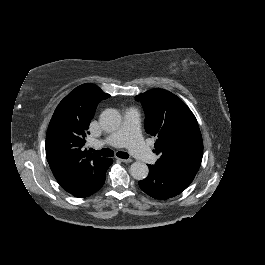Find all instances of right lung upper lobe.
<instances>
[{
  "instance_id": "cb5924a9",
  "label": "right lung upper lobe",
  "mask_w": 265,
  "mask_h": 265,
  "mask_svg": "<svg viewBox=\"0 0 265 265\" xmlns=\"http://www.w3.org/2000/svg\"><path fill=\"white\" fill-rule=\"evenodd\" d=\"M110 95L94 84H83L57 106L46 135V157L60 186L79 196L104 180L109 158L83 151L89 124L98 103Z\"/></svg>"
}]
</instances>
